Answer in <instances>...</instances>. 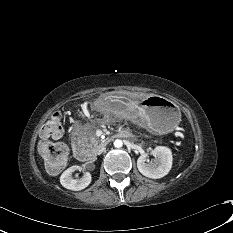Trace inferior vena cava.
Segmentation results:
<instances>
[{"mask_svg":"<svg viewBox=\"0 0 233 233\" xmlns=\"http://www.w3.org/2000/svg\"><path fill=\"white\" fill-rule=\"evenodd\" d=\"M105 150V148H99L98 150H97V154H101L103 151Z\"/></svg>","mask_w":233,"mask_h":233,"instance_id":"inferior-vena-cava-1","label":"inferior vena cava"}]
</instances>
